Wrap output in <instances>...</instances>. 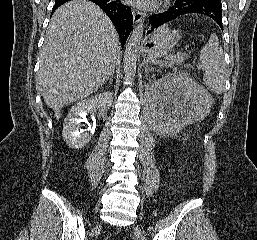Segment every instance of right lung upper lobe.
<instances>
[{
  "label": "right lung upper lobe",
  "instance_id": "cb5924a9",
  "mask_svg": "<svg viewBox=\"0 0 257 240\" xmlns=\"http://www.w3.org/2000/svg\"><path fill=\"white\" fill-rule=\"evenodd\" d=\"M68 0H55V5H60Z\"/></svg>",
  "mask_w": 257,
  "mask_h": 240
}]
</instances>
